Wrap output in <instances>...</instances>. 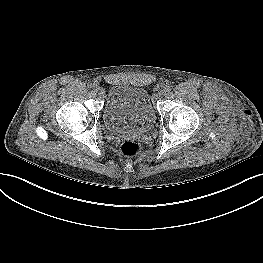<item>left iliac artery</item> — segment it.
I'll list each match as a JSON object with an SVG mask.
<instances>
[{
    "label": "left iliac artery",
    "instance_id": "1",
    "mask_svg": "<svg viewBox=\"0 0 263 263\" xmlns=\"http://www.w3.org/2000/svg\"><path fill=\"white\" fill-rule=\"evenodd\" d=\"M165 90H166V92H169V91L171 90V88H170L169 86H167V87L165 88Z\"/></svg>",
    "mask_w": 263,
    "mask_h": 263
}]
</instances>
